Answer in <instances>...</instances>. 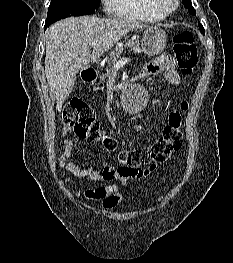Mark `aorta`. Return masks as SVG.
Wrapping results in <instances>:
<instances>
[{"label": "aorta", "instance_id": "762f6f07", "mask_svg": "<svg viewBox=\"0 0 233 263\" xmlns=\"http://www.w3.org/2000/svg\"><path fill=\"white\" fill-rule=\"evenodd\" d=\"M144 94L137 85L130 86L124 96V106L131 113H137L144 108Z\"/></svg>", "mask_w": 233, "mask_h": 263}]
</instances>
